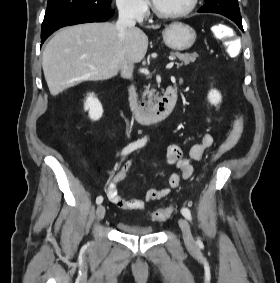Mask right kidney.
I'll use <instances>...</instances> for the list:
<instances>
[{"instance_id":"obj_1","label":"right kidney","mask_w":280,"mask_h":283,"mask_svg":"<svg viewBox=\"0 0 280 283\" xmlns=\"http://www.w3.org/2000/svg\"><path fill=\"white\" fill-rule=\"evenodd\" d=\"M84 109L86 111H89V117L93 121L99 120L102 117V105L93 93L87 96L84 104Z\"/></svg>"}]
</instances>
